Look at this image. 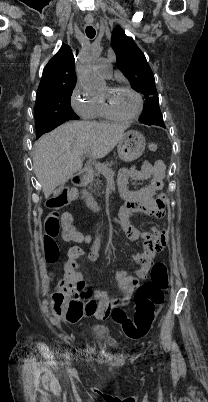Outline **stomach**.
Wrapping results in <instances>:
<instances>
[{
    "label": "stomach",
    "mask_w": 208,
    "mask_h": 402,
    "mask_svg": "<svg viewBox=\"0 0 208 402\" xmlns=\"http://www.w3.org/2000/svg\"><path fill=\"white\" fill-rule=\"evenodd\" d=\"M146 142L144 136L139 132H126L118 142V156L123 162H133L142 156Z\"/></svg>",
    "instance_id": "obj_1"
}]
</instances>
